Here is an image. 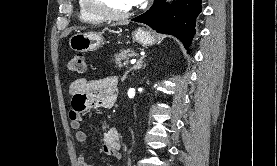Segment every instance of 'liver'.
Wrapping results in <instances>:
<instances>
[{"label":"liver","mask_w":277,"mask_h":166,"mask_svg":"<svg viewBox=\"0 0 277 166\" xmlns=\"http://www.w3.org/2000/svg\"><path fill=\"white\" fill-rule=\"evenodd\" d=\"M128 22H123V23H120V25H127Z\"/></svg>","instance_id":"liver-1"}]
</instances>
